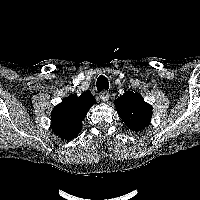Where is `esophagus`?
Here are the masks:
<instances>
[{
  "label": "esophagus",
  "mask_w": 200,
  "mask_h": 200,
  "mask_svg": "<svg viewBox=\"0 0 200 200\" xmlns=\"http://www.w3.org/2000/svg\"><path fill=\"white\" fill-rule=\"evenodd\" d=\"M100 99L103 101V102H107L109 100V92L104 90L100 93Z\"/></svg>",
  "instance_id": "obj_1"
}]
</instances>
